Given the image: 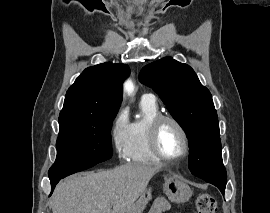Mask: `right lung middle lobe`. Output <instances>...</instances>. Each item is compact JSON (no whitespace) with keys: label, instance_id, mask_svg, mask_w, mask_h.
<instances>
[{"label":"right lung middle lobe","instance_id":"obj_1","mask_svg":"<svg viewBox=\"0 0 270 213\" xmlns=\"http://www.w3.org/2000/svg\"><path fill=\"white\" fill-rule=\"evenodd\" d=\"M115 115L59 117L57 157L49 177L89 168L111 158L110 130Z\"/></svg>","mask_w":270,"mask_h":213}]
</instances>
